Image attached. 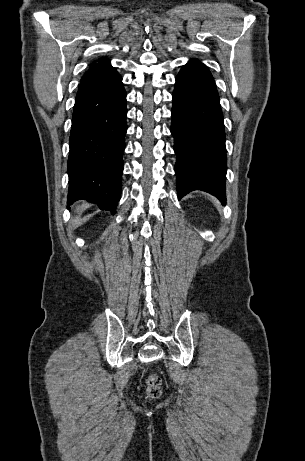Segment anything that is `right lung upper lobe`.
<instances>
[{
  "label": "right lung upper lobe",
  "instance_id": "right-lung-upper-lobe-1",
  "mask_svg": "<svg viewBox=\"0 0 305 461\" xmlns=\"http://www.w3.org/2000/svg\"><path fill=\"white\" fill-rule=\"evenodd\" d=\"M116 73V69L110 65V60L107 58H100L98 63L90 67L81 79L87 81L91 79L105 78Z\"/></svg>",
  "mask_w": 305,
  "mask_h": 461
}]
</instances>
